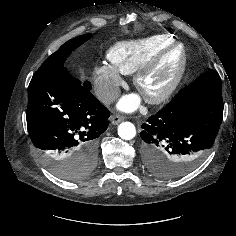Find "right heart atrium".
<instances>
[{
	"label": "right heart atrium",
	"mask_w": 236,
	"mask_h": 236,
	"mask_svg": "<svg viewBox=\"0 0 236 236\" xmlns=\"http://www.w3.org/2000/svg\"><path fill=\"white\" fill-rule=\"evenodd\" d=\"M92 82L97 98L104 104H110L119 94L122 78L112 65L103 63L94 68Z\"/></svg>",
	"instance_id": "d8ad5b80"
}]
</instances>
